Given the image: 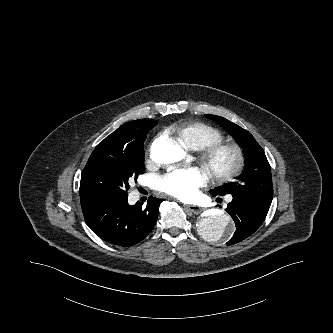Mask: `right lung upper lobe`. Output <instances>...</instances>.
Returning a JSON list of instances; mask_svg holds the SVG:
<instances>
[{
  "label": "right lung upper lobe",
  "mask_w": 333,
  "mask_h": 333,
  "mask_svg": "<svg viewBox=\"0 0 333 333\" xmlns=\"http://www.w3.org/2000/svg\"><path fill=\"white\" fill-rule=\"evenodd\" d=\"M142 127L143 123L140 120L125 123L98 144L91 155L103 151L123 153L134 151L142 142ZM80 201L82 206L94 203L87 200Z\"/></svg>",
  "instance_id": "right-lung-upper-lobe-1"
}]
</instances>
